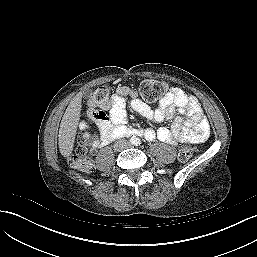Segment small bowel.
I'll return each mask as SVG.
<instances>
[{
	"instance_id": "small-bowel-1",
	"label": "small bowel",
	"mask_w": 257,
	"mask_h": 257,
	"mask_svg": "<svg viewBox=\"0 0 257 257\" xmlns=\"http://www.w3.org/2000/svg\"><path fill=\"white\" fill-rule=\"evenodd\" d=\"M130 97L129 105L133 111L144 118L160 123L170 120V127H161L158 130L145 129L147 140L155 138L172 145L180 143H199L205 141L210 134L209 123L204 116L197 99L178 87L167 91L159 104L152 108L141 100L137 93L127 86L116 89L113 96L109 115H105L98 123L100 135L92 141L94 147H102L111 141V133L125 125L127 121L125 98ZM87 124L82 121L79 130L85 140H89L86 131Z\"/></svg>"
}]
</instances>
